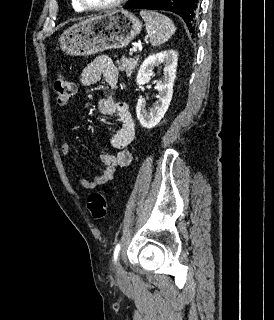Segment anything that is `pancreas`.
I'll list each match as a JSON object with an SVG mask.
<instances>
[{
  "label": "pancreas",
  "mask_w": 274,
  "mask_h": 320,
  "mask_svg": "<svg viewBox=\"0 0 274 320\" xmlns=\"http://www.w3.org/2000/svg\"><path fill=\"white\" fill-rule=\"evenodd\" d=\"M140 58L139 56H134V58H121V60H117L116 64L119 68V70H123V72H126L128 78L131 76L133 70H135Z\"/></svg>",
  "instance_id": "obj_1"
}]
</instances>
